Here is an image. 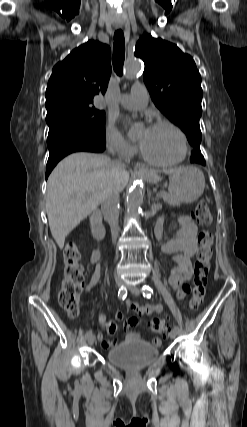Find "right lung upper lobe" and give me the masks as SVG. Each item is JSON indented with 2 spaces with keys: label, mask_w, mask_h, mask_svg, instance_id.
I'll list each match as a JSON object with an SVG mask.
<instances>
[{
  "label": "right lung upper lobe",
  "mask_w": 247,
  "mask_h": 427,
  "mask_svg": "<svg viewBox=\"0 0 247 427\" xmlns=\"http://www.w3.org/2000/svg\"><path fill=\"white\" fill-rule=\"evenodd\" d=\"M111 74V52L97 41L74 49L57 63L46 89L47 114L68 106L92 105L96 94H104Z\"/></svg>",
  "instance_id": "cb5924a9"
}]
</instances>
